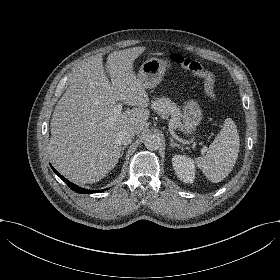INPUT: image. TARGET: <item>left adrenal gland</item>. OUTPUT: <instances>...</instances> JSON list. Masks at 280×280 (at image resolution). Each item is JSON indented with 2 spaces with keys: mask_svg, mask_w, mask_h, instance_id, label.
<instances>
[{
  "mask_svg": "<svg viewBox=\"0 0 280 280\" xmlns=\"http://www.w3.org/2000/svg\"><path fill=\"white\" fill-rule=\"evenodd\" d=\"M173 145H176V146L180 147L181 149H184V147L181 144H179L176 141H174L173 137L170 136L169 146H173Z\"/></svg>",
  "mask_w": 280,
  "mask_h": 280,
  "instance_id": "obj_1",
  "label": "left adrenal gland"
}]
</instances>
